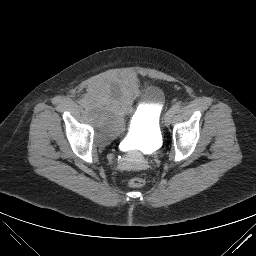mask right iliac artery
Instances as JSON below:
<instances>
[{
	"instance_id": "right-iliac-artery-1",
	"label": "right iliac artery",
	"mask_w": 256,
	"mask_h": 256,
	"mask_svg": "<svg viewBox=\"0 0 256 256\" xmlns=\"http://www.w3.org/2000/svg\"><path fill=\"white\" fill-rule=\"evenodd\" d=\"M80 104L85 107L86 106V101L83 99V100L80 101Z\"/></svg>"
}]
</instances>
